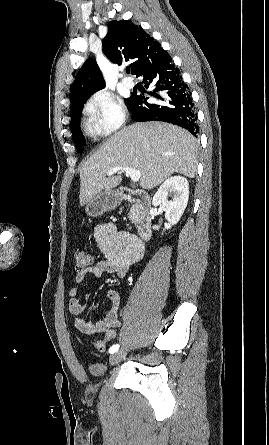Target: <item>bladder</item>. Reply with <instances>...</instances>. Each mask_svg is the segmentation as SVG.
<instances>
[{"label":"bladder","mask_w":269,"mask_h":445,"mask_svg":"<svg viewBox=\"0 0 269 445\" xmlns=\"http://www.w3.org/2000/svg\"><path fill=\"white\" fill-rule=\"evenodd\" d=\"M87 371L94 377H101L106 373V367L102 363H90L87 366Z\"/></svg>","instance_id":"1"}]
</instances>
